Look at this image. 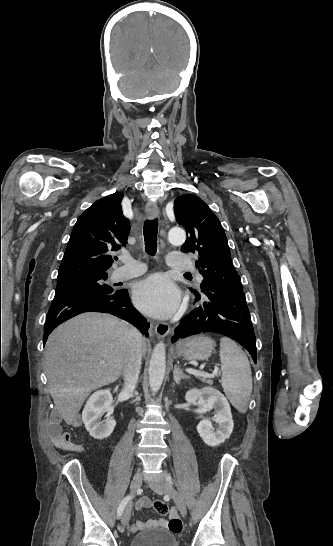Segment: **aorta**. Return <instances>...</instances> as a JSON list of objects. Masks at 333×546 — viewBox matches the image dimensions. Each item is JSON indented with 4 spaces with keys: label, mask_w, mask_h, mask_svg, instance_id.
Masks as SVG:
<instances>
[{
    "label": "aorta",
    "mask_w": 333,
    "mask_h": 546,
    "mask_svg": "<svg viewBox=\"0 0 333 546\" xmlns=\"http://www.w3.org/2000/svg\"><path fill=\"white\" fill-rule=\"evenodd\" d=\"M186 239L185 231L181 228H171L168 231V241L174 245H181ZM166 371V351L163 342L158 343L152 353L149 366V384L152 392H157L162 385Z\"/></svg>",
    "instance_id": "1"
}]
</instances>
